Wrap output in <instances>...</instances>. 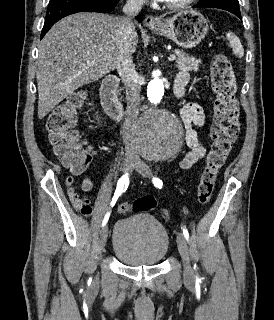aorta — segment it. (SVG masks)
<instances>
[{
	"label": "aorta",
	"mask_w": 274,
	"mask_h": 320,
	"mask_svg": "<svg viewBox=\"0 0 274 320\" xmlns=\"http://www.w3.org/2000/svg\"><path fill=\"white\" fill-rule=\"evenodd\" d=\"M164 93L163 80L154 73L147 86L150 108L135 126L137 145L148 159L161 160L170 157L177 149L183 132L176 116L163 108Z\"/></svg>",
	"instance_id": "1"
}]
</instances>
